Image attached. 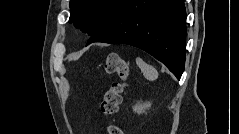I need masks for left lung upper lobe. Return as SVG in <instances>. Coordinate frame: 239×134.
I'll list each match as a JSON object with an SVG mask.
<instances>
[{
	"instance_id": "5c2ea615",
	"label": "left lung upper lobe",
	"mask_w": 239,
	"mask_h": 134,
	"mask_svg": "<svg viewBox=\"0 0 239 134\" xmlns=\"http://www.w3.org/2000/svg\"><path fill=\"white\" fill-rule=\"evenodd\" d=\"M124 0H71L69 22L92 36L112 19Z\"/></svg>"
}]
</instances>
